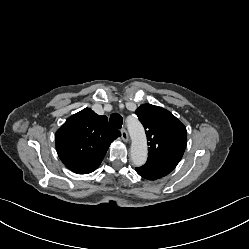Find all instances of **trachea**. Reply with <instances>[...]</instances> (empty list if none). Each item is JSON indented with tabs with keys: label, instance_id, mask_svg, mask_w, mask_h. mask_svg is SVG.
I'll return each instance as SVG.
<instances>
[{
	"label": "trachea",
	"instance_id": "1",
	"mask_svg": "<svg viewBox=\"0 0 249 249\" xmlns=\"http://www.w3.org/2000/svg\"><path fill=\"white\" fill-rule=\"evenodd\" d=\"M109 122L110 124L117 128V129H120L122 127V122H123V119H122V116L118 113H113L111 116H110V119H109Z\"/></svg>",
	"mask_w": 249,
	"mask_h": 249
}]
</instances>
